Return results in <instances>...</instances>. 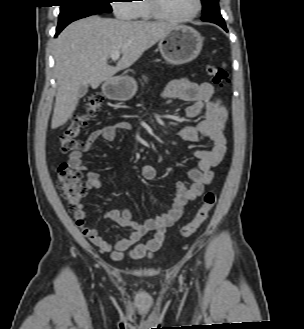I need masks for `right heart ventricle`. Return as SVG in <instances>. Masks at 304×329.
<instances>
[{"mask_svg": "<svg viewBox=\"0 0 304 329\" xmlns=\"http://www.w3.org/2000/svg\"><path fill=\"white\" fill-rule=\"evenodd\" d=\"M139 4H134L135 16L134 19L142 21H150L154 18L148 0H138Z\"/></svg>", "mask_w": 304, "mask_h": 329, "instance_id": "obj_1", "label": "right heart ventricle"}]
</instances>
